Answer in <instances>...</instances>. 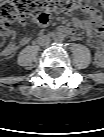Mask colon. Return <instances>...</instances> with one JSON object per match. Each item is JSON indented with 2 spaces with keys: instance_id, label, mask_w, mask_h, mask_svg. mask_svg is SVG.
<instances>
[{
  "instance_id": "obj_1",
  "label": "colon",
  "mask_w": 104,
  "mask_h": 137,
  "mask_svg": "<svg viewBox=\"0 0 104 137\" xmlns=\"http://www.w3.org/2000/svg\"><path fill=\"white\" fill-rule=\"evenodd\" d=\"M85 6L102 9L104 0H4L0 6V32H10L15 22L28 17L47 23L52 13L70 12Z\"/></svg>"
}]
</instances>
